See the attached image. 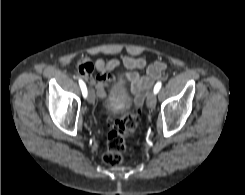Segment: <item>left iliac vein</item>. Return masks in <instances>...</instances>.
I'll return each mask as SVG.
<instances>
[{
  "instance_id": "4c4485c4",
  "label": "left iliac vein",
  "mask_w": 245,
  "mask_h": 195,
  "mask_svg": "<svg viewBox=\"0 0 245 195\" xmlns=\"http://www.w3.org/2000/svg\"><path fill=\"white\" fill-rule=\"evenodd\" d=\"M156 94L154 92H150L147 97V106L153 109L156 106Z\"/></svg>"
}]
</instances>
